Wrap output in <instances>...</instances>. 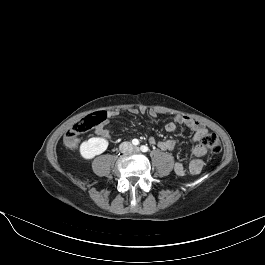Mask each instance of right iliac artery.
<instances>
[{
	"label": "right iliac artery",
	"mask_w": 265,
	"mask_h": 265,
	"mask_svg": "<svg viewBox=\"0 0 265 265\" xmlns=\"http://www.w3.org/2000/svg\"><path fill=\"white\" fill-rule=\"evenodd\" d=\"M132 143H133V145H135V146H136V145H138V144H139V140H138V139H133V140H132Z\"/></svg>",
	"instance_id": "obj_1"
}]
</instances>
